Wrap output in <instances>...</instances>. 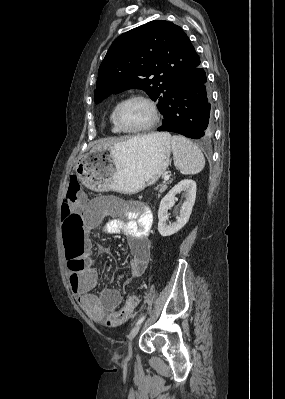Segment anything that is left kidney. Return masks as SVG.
<instances>
[{
	"mask_svg": "<svg viewBox=\"0 0 285 399\" xmlns=\"http://www.w3.org/2000/svg\"><path fill=\"white\" fill-rule=\"evenodd\" d=\"M182 191L186 192V200L181 206L180 216L176 222L167 225L169 219L168 210L175 204V196ZM196 198V183L191 179H185L176 184L161 200L158 210V231L161 236H171L181 230L188 222Z\"/></svg>",
	"mask_w": 285,
	"mask_h": 399,
	"instance_id": "5707ae66",
	"label": "left kidney"
}]
</instances>
